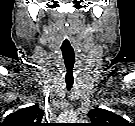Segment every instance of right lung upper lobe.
<instances>
[{"instance_id": "right-lung-upper-lobe-1", "label": "right lung upper lobe", "mask_w": 135, "mask_h": 126, "mask_svg": "<svg viewBox=\"0 0 135 126\" xmlns=\"http://www.w3.org/2000/svg\"><path fill=\"white\" fill-rule=\"evenodd\" d=\"M44 111L39 108V105L20 109L9 114L4 124L6 126H38L43 118Z\"/></svg>"}]
</instances>
